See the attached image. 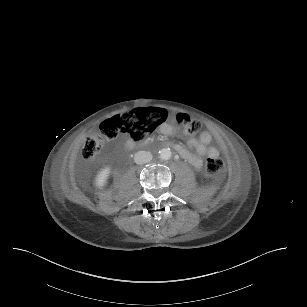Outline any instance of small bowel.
<instances>
[{
	"instance_id": "small-bowel-1",
	"label": "small bowel",
	"mask_w": 307,
	"mask_h": 307,
	"mask_svg": "<svg viewBox=\"0 0 307 307\" xmlns=\"http://www.w3.org/2000/svg\"><path fill=\"white\" fill-rule=\"evenodd\" d=\"M160 130L164 135L167 136H172L176 132L175 128L168 124L162 125ZM211 142V133L208 131H203L198 138L189 137L187 141L188 147L194 150L197 155L191 153L189 150L178 144H173V148L194 168L199 169L202 166V160L199 156L207 155L211 157L219 155V150L215 147L210 146Z\"/></svg>"
}]
</instances>
